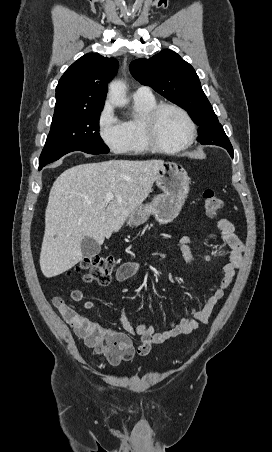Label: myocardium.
I'll use <instances>...</instances> for the list:
<instances>
[{
  "label": "myocardium",
  "instance_id": "1",
  "mask_svg": "<svg viewBox=\"0 0 272 452\" xmlns=\"http://www.w3.org/2000/svg\"><path fill=\"white\" fill-rule=\"evenodd\" d=\"M165 109H173L179 112L185 119L188 125V135L186 140L174 147H167L160 143L156 135V124L157 119L161 112ZM143 133L146 142L150 146L152 150L162 152V153H177L186 148H188L195 139L196 136V125L189 115V113L181 106L174 103H161L157 104L154 108H152L144 118L143 122Z\"/></svg>",
  "mask_w": 272,
  "mask_h": 452
}]
</instances>
